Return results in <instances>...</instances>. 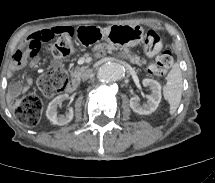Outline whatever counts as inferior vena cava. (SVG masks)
<instances>
[{"mask_svg": "<svg viewBox=\"0 0 215 183\" xmlns=\"http://www.w3.org/2000/svg\"><path fill=\"white\" fill-rule=\"evenodd\" d=\"M92 76H93V70L87 69V70L83 71V73L81 74V79L87 80V79L91 78Z\"/></svg>", "mask_w": 215, "mask_h": 183, "instance_id": "inferior-vena-cava-1", "label": "inferior vena cava"}]
</instances>
